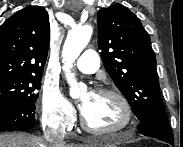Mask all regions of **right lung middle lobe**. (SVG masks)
Listing matches in <instances>:
<instances>
[{
    "label": "right lung middle lobe",
    "instance_id": "dd1d6c3e",
    "mask_svg": "<svg viewBox=\"0 0 183 147\" xmlns=\"http://www.w3.org/2000/svg\"><path fill=\"white\" fill-rule=\"evenodd\" d=\"M42 75L0 80V103L35 102L39 96Z\"/></svg>",
    "mask_w": 183,
    "mask_h": 147
}]
</instances>
